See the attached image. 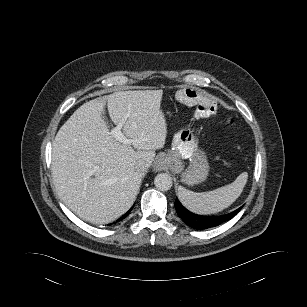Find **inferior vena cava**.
<instances>
[{
  "mask_svg": "<svg viewBox=\"0 0 307 307\" xmlns=\"http://www.w3.org/2000/svg\"><path fill=\"white\" fill-rule=\"evenodd\" d=\"M147 169V165L145 162H139L137 165H136V170L138 172H140L141 174H143L145 172V170Z\"/></svg>",
  "mask_w": 307,
  "mask_h": 307,
  "instance_id": "602c4592",
  "label": "inferior vena cava"
}]
</instances>
